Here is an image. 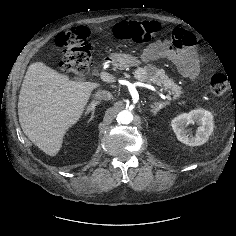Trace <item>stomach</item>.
<instances>
[{
  "label": "stomach",
  "instance_id": "obj_1",
  "mask_svg": "<svg viewBox=\"0 0 236 236\" xmlns=\"http://www.w3.org/2000/svg\"><path fill=\"white\" fill-rule=\"evenodd\" d=\"M112 63L119 69L139 66L142 62L137 57L125 53H112L110 56Z\"/></svg>",
  "mask_w": 236,
  "mask_h": 236
}]
</instances>
